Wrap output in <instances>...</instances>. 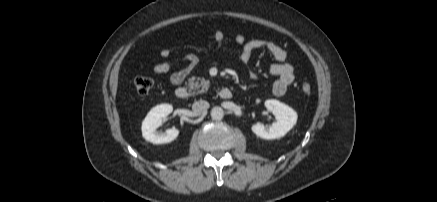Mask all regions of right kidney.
I'll list each match as a JSON object with an SVG mask.
<instances>
[{
  "instance_id": "ca27d5eb",
  "label": "right kidney",
  "mask_w": 437,
  "mask_h": 202,
  "mask_svg": "<svg viewBox=\"0 0 437 202\" xmlns=\"http://www.w3.org/2000/svg\"><path fill=\"white\" fill-rule=\"evenodd\" d=\"M172 111L173 107L170 104L157 105L150 110L142 122V136L146 141L153 144H164L177 138L179 130L176 128L167 129L164 133L157 131V128L162 124V120Z\"/></svg>"
}]
</instances>
